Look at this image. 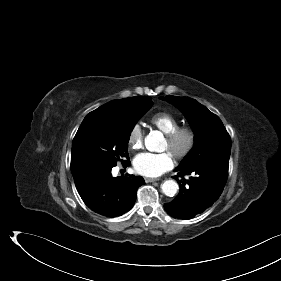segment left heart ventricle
<instances>
[{
  "mask_svg": "<svg viewBox=\"0 0 281 281\" xmlns=\"http://www.w3.org/2000/svg\"><path fill=\"white\" fill-rule=\"evenodd\" d=\"M165 149H169L167 141L165 142Z\"/></svg>",
  "mask_w": 281,
  "mask_h": 281,
  "instance_id": "1",
  "label": "left heart ventricle"
}]
</instances>
